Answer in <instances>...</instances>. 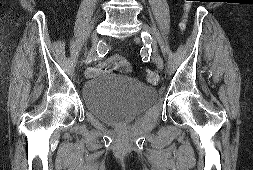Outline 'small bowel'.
Instances as JSON below:
<instances>
[{
  "label": "small bowel",
  "mask_w": 253,
  "mask_h": 170,
  "mask_svg": "<svg viewBox=\"0 0 253 170\" xmlns=\"http://www.w3.org/2000/svg\"><path fill=\"white\" fill-rule=\"evenodd\" d=\"M119 56H115V57H113L111 60H115V59H117ZM97 71V69H95V68H92V69H90L89 71H88V74H94L95 72Z\"/></svg>",
  "instance_id": "1"
}]
</instances>
